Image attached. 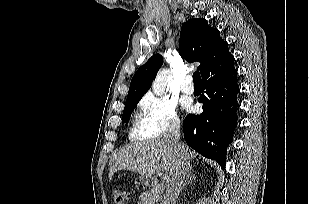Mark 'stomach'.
I'll list each match as a JSON object with an SVG mask.
<instances>
[{"mask_svg": "<svg viewBox=\"0 0 309 204\" xmlns=\"http://www.w3.org/2000/svg\"><path fill=\"white\" fill-rule=\"evenodd\" d=\"M139 179H140L145 185H149V183H150V181H151V178H150V177L144 176V175L139 176Z\"/></svg>", "mask_w": 309, "mask_h": 204, "instance_id": "1", "label": "stomach"}]
</instances>
